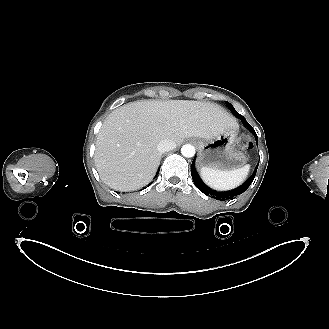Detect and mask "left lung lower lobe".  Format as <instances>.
I'll return each instance as SVG.
<instances>
[{
    "mask_svg": "<svg viewBox=\"0 0 329 329\" xmlns=\"http://www.w3.org/2000/svg\"><path fill=\"white\" fill-rule=\"evenodd\" d=\"M241 120H242L243 124L245 125V127H247L252 132V134L254 135V137L256 138V141H257V134H256L255 130L251 127V125L246 121V119L244 117L241 118ZM257 168H258V166H257ZM257 168L254 170L251 177L245 183H243L241 186H239L238 188H236L234 190L226 191V192H218V191H215V190L211 189L210 187H208L198 176L196 169H195L194 160L191 165V175H192L194 184L202 193H204L212 198H215V199H218L221 201H226V200L232 199V198L242 194L244 191L247 190V188L251 185L252 181L255 178Z\"/></svg>",
    "mask_w": 329,
    "mask_h": 329,
    "instance_id": "1",
    "label": "left lung lower lobe"
}]
</instances>
